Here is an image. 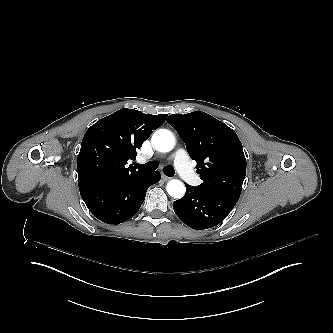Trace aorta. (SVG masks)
<instances>
[{"instance_id":"obj_1","label":"aorta","mask_w":333,"mask_h":333,"mask_svg":"<svg viewBox=\"0 0 333 333\" xmlns=\"http://www.w3.org/2000/svg\"><path fill=\"white\" fill-rule=\"evenodd\" d=\"M152 144L160 152H168L173 149L175 140L171 132L166 129L157 130L152 136ZM166 190L174 198H182L185 186L179 180H171L167 183Z\"/></svg>"}]
</instances>
